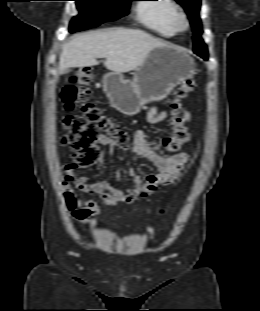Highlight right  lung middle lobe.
I'll return each mask as SVG.
<instances>
[{
  "instance_id": "right-lung-middle-lobe-1",
  "label": "right lung middle lobe",
  "mask_w": 260,
  "mask_h": 311,
  "mask_svg": "<svg viewBox=\"0 0 260 311\" xmlns=\"http://www.w3.org/2000/svg\"><path fill=\"white\" fill-rule=\"evenodd\" d=\"M79 15L70 23L69 31L77 32L96 27L103 22L113 21L127 15L133 0H74Z\"/></svg>"
}]
</instances>
